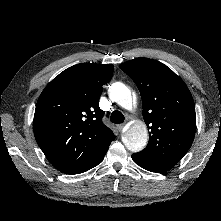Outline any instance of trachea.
Here are the masks:
<instances>
[{"mask_svg":"<svg viewBox=\"0 0 221 221\" xmlns=\"http://www.w3.org/2000/svg\"><path fill=\"white\" fill-rule=\"evenodd\" d=\"M112 123L120 124L124 122V115L120 111H113L110 117Z\"/></svg>","mask_w":221,"mask_h":221,"instance_id":"trachea-1","label":"trachea"}]
</instances>
